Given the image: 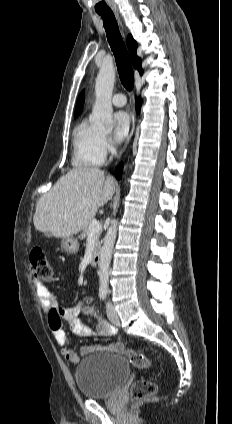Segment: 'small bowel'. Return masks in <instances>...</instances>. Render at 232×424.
I'll use <instances>...</instances> for the list:
<instances>
[{
    "instance_id": "obj_1",
    "label": "small bowel",
    "mask_w": 232,
    "mask_h": 424,
    "mask_svg": "<svg viewBox=\"0 0 232 424\" xmlns=\"http://www.w3.org/2000/svg\"><path fill=\"white\" fill-rule=\"evenodd\" d=\"M36 293L40 301L41 307L48 311V324L54 338L61 347L63 357L71 362L78 363L81 356L100 353L112 352L121 353L124 351V344L121 340L111 344L102 345H87L80 348L79 352L74 351L68 346V338L63 323L67 322L70 329L81 337H90L98 335L101 337H110L117 333L115 326L102 318L93 305V299L87 298L82 302L71 307H58L54 293L44 284L35 281ZM83 314L91 318L96 323V330H92L85 325L79 315Z\"/></svg>"
}]
</instances>
